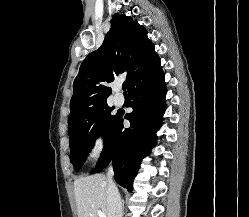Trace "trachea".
I'll return each mask as SVG.
<instances>
[{
	"mask_svg": "<svg viewBox=\"0 0 249 217\" xmlns=\"http://www.w3.org/2000/svg\"><path fill=\"white\" fill-rule=\"evenodd\" d=\"M122 87H123L124 93H127L126 92V83L125 82L123 83Z\"/></svg>",
	"mask_w": 249,
	"mask_h": 217,
	"instance_id": "obj_1",
	"label": "trachea"
}]
</instances>
